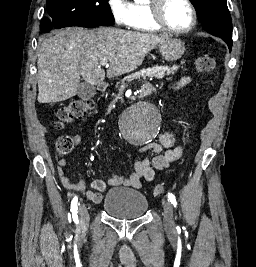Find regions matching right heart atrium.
<instances>
[{"mask_svg":"<svg viewBox=\"0 0 256 267\" xmlns=\"http://www.w3.org/2000/svg\"><path fill=\"white\" fill-rule=\"evenodd\" d=\"M114 21L115 22H121V25H123V28H131V18L127 15H114Z\"/></svg>","mask_w":256,"mask_h":267,"instance_id":"d8ad5b80","label":"right heart atrium"}]
</instances>
